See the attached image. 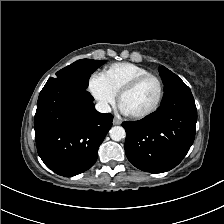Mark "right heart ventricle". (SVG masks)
I'll return each instance as SVG.
<instances>
[{
  "instance_id": "1",
  "label": "right heart ventricle",
  "mask_w": 224,
  "mask_h": 224,
  "mask_svg": "<svg viewBox=\"0 0 224 224\" xmlns=\"http://www.w3.org/2000/svg\"><path fill=\"white\" fill-rule=\"evenodd\" d=\"M150 73L147 69L129 62L112 64L102 70L101 78L107 87L114 93L133 78Z\"/></svg>"
}]
</instances>
